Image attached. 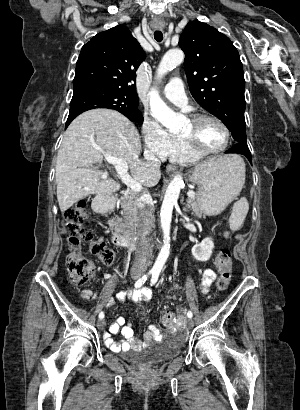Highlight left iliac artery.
Returning a JSON list of instances; mask_svg holds the SVG:
<instances>
[{
	"mask_svg": "<svg viewBox=\"0 0 300 410\" xmlns=\"http://www.w3.org/2000/svg\"><path fill=\"white\" fill-rule=\"evenodd\" d=\"M158 277H159V272H153L152 278H151V285H154V284L157 282ZM187 316H188L189 318H192V316H193L192 312H191V311H188V312H187Z\"/></svg>",
	"mask_w": 300,
	"mask_h": 410,
	"instance_id": "44dca946",
	"label": "left iliac artery"
}]
</instances>
